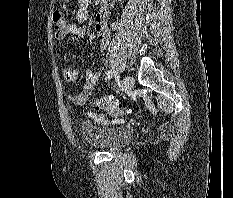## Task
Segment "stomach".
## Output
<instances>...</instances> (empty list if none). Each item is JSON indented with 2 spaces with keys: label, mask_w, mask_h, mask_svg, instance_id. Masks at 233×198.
I'll use <instances>...</instances> for the list:
<instances>
[{
  "label": "stomach",
  "mask_w": 233,
  "mask_h": 198,
  "mask_svg": "<svg viewBox=\"0 0 233 198\" xmlns=\"http://www.w3.org/2000/svg\"><path fill=\"white\" fill-rule=\"evenodd\" d=\"M61 1H65V2H68V1H70V0H61Z\"/></svg>",
  "instance_id": "0dacf381"
}]
</instances>
